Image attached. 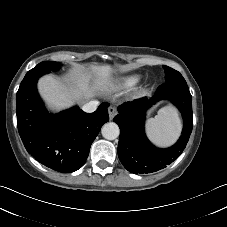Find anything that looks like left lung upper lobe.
Segmentation results:
<instances>
[{
  "instance_id": "left-lung-upper-lobe-1",
  "label": "left lung upper lobe",
  "mask_w": 227,
  "mask_h": 227,
  "mask_svg": "<svg viewBox=\"0 0 227 227\" xmlns=\"http://www.w3.org/2000/svg\"><path fill=\"white\" fill-rule=\"evenodd\" d=\"M165 70V82L167 83H186L183 76L176 70L163 65Z\"/></svg>"
}]
</instances>
